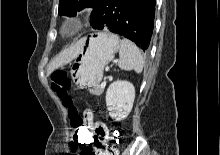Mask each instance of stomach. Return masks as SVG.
<instances>
[{
  "instance_id": "1",
  "label": "stomach",
  "mask_w": 220,
  "mask_h": 155,
  "mask_svg": "<svg viewBox=\"0 0 220 155\" xmlns=\"http://www.w3.org/2000/svg\"><path fill=\"white\" fill-rule=\"evenodd\" d=\"M82 41L83 46L71 66L70 74L77 88L92 92L102 80L104 67L118 51L120 40L113 33L100 32Z\"/></svg>"
}]
</instances>
